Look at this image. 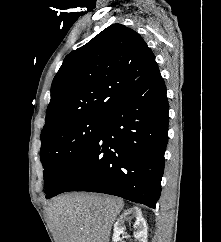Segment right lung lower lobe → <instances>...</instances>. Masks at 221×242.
I'll return each mask as SVG.
<instances>
[{
  "label": "right lung lower lobe",
  "mask_w": 221,
  "mask_h": 242,
  "mask_svg": "<svg viewBox=\"0 0 221 242\" xmlns=\"http://www.w3.org/2000/svg\"><path fill=\"white\" fill-rule=\"evenodd\" d=\"M168 110L159 73L103 116L99 131L68 165L49 198L89 191L155 208L168 141Z\"/></svg>",
  "instance_id": "1"
}]
</instances>
